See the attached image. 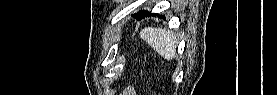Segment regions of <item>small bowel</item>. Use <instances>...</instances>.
<instances>
[{"instance_id":"c3829d8e","label":"small bowel","mask_w":277,"mask_h":95,"mask_svg":"<svg viewBox=\"0 0 277 95\" xmlns=\"http://www.w3.org/2000/svg\"><path fill=\"white\" fill-rule=\"evenodd\" d=\"M122 94H124V95H131V94H134V91L131 88V86H126V88L124 89Z\"/></svg>"}]
</instances>
